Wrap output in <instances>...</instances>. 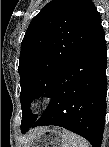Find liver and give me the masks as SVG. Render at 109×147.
Here are the masks:
<instances>
[{
  "instance_id": "6515ba94",
  "label": "liver",
  "mask_w": 109,
  "mask_h": 147,
  "mask_svg": "<svg viewBox=\"0 0 109 147\" xmlns=\"http://www.w3.org/2000/svg\"><path fill=\"white\" fill-rule=\"evenodd\" d=\"M45 128H47V127H37V128H34V129H32V130H30V131L28 132V136H29V137H32V136H34L35 134H37V133L41 132L42 130H44Z\"/></svg>"
}]
</instances>
